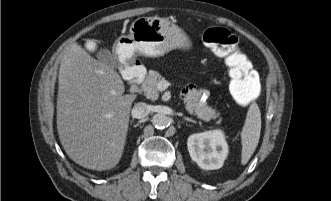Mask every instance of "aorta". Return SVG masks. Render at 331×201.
Returning a JSON list of instances; mask_svg holds the SVG:
<instances>
[{"instance_id":"1","label":"aorta","mask_w":331,"mask_h":201,"mask_svg":"<svg viewBox=\"0 0 331 201\" xmlns=\"http://www.w3.org/2000/svg\"><path fill=\"white\" fill-rule=\"evenodd\" d=\"M152 124L157 129H164L169 125V118L164 114H155L152 117Z\"/></svg>"}]
</instances>
